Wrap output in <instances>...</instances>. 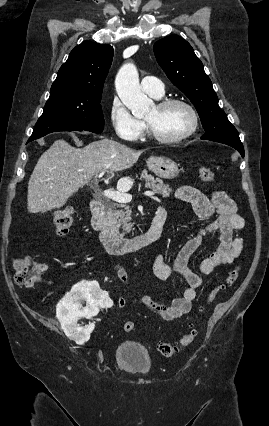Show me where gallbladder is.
Wrapping results in <instances>:
<instances>
[{
    "label": "gallbladder",
    "instance_id": "obj_1",
    "mask_svg": "<svg viewBox=\"0 0 269 426\" xmlns=\"http://www.w3.org/2000/svg\"><path fill=\"white\" fill-rule=\"evenodd\" d=\"M90 185H91V186H93V185H94V182H91V183H90Z\"/></svg>",
    "mask_w": 269,
    "mask_h": 426
}]
</instances>
